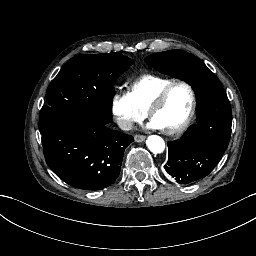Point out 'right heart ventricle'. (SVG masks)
<instances>
[{"mask_svg": "<svg viewBox=\"0 0 256 256\" xmlns=\"http://www.w3.org/2000/svg\"><path fill=\"white\" fill-rule=\"evenodd\" d=\"M172 83V80H155L154 84L145 86L143 88L135 89L131 95L132 98L136 99L141 109L144 110L147 106L154 101L161 91Z\"/></svg>", "mask_w": 256, "mask_h": 256, "instance_id": "right-heart-ventricle-1", "label": "right heart ventricle"}]
</instances>
